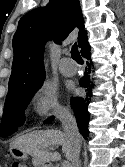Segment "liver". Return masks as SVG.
<instances>
[{"label": "liver", "mask_w": 125, "mask_h": 167, "mask_svg": "<svg viewBox=\"0 0 125 167\" xmlns=\"http://www.w3.org/2000/svg\"><path fill=\"white\" fill-rule=\"evenodd\" d=\"M11 147H16L44 162L58 161L61 156L58 152H50L48 148L53 146H62L68 160L72 156V143L66 132L60 130H38L18 136L10 144Z\"/></svg>", "instance_id": "liver-1"}]
</instances>
